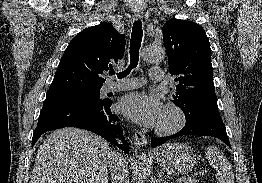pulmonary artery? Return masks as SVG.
Instances as JSON below:
<instances>
[{"label": "pulmonary artery", "instance_id": "pulmonary-artery-1", "mask_svg": "<svg viewBox=\"0 0 262 183\" xmlns=\"http://www.w3.org/2000/svg\"><path fill=\"white\" fill-rule=\"evenodd\" d=\"M150 79L153 81L163 80V73L159 68H152L149 73ZM143 84L141 78H128L122 82L110 83L107 85V91H120V90H130L136 89Z\"/></svg>", "mask_w": 262, "mask_h": 183}]
</instances>
